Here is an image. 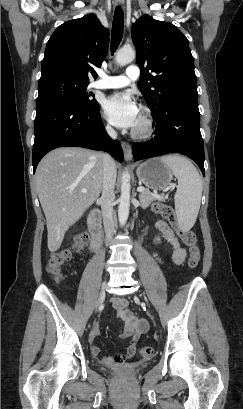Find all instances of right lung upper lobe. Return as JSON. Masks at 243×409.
<instances>
[{
  "mask_svg": "<svg viewBox=\"0 0 243 409\" xmlns=\"http://www.w3.org/2000/svg\"><path fill=\"white\" fill-rule=\"evenodd\" d=\"M109 31L94 14L60 25L46 45L41 78L64 76L81 83L97 78L93 66L107 55Z\"/></svg>",
  "mask_w": 243,
  "mask_h": 409,
  "instance_id": "cb5924a9",
  "label": "right lung upper lobe"
}]
</instances>
